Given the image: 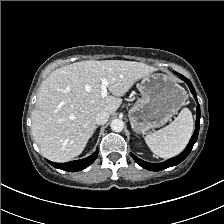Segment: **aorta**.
<instances>
[{
	"label": "aorta",
	"mask_w": 224,
	"mask_h": 224,
	"mask_svg": "<svg viewBox=\"0 0 224 224\" xmlns=\"http://www.w3.org/2000/svg\"><path fill=\"white\" fill-rule=\"evenodd\" d=\"M110 127L115 132H121L124 128V122L121 119L112 120Z\"/></svg>",
	"instance_id": "obj_1"
}]
</instances>
